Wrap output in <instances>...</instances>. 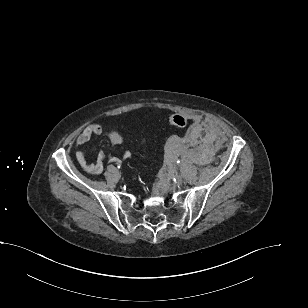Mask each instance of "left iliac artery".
<instances>
[{"label":"left iliac artery","mask_w":308,"mask_h":308,"mask_svg":"<svg viewBox=\"0 0 308 308\" xmlns=\"http://www.w3.org/2000/svg\"><path fill=\"white\" fill-rule=\"evenodd\" d=\"M177 163L179 164V163H180V161L178 160V161H177ZM174 180H175V179H174Z\"/></svg>","instance_id":"1"}]
</instances>
